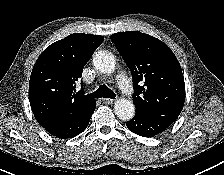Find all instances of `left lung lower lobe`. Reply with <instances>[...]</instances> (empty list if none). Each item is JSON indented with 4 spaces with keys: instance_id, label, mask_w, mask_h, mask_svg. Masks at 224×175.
Here are the masks:
<instances>
[{
    "instance_id": "left-lung-lower-lobe-1",
    "label": "left lung lower lobe",
    "mask_w": 224,
    "mask_h": 175,
    "mask_svg": "<svg viewBox=\"0 0 224 175\" xmlns=\"http://www.w3.org/2000/svg\"><path fill=\"white\" fill-rule=\"evenodd\" d=\"M175 119L167 116H151L136 113L134 118L126 123L127 128L137 135L152 137L165 131Z\"/></svg>"
}]
</instances>
